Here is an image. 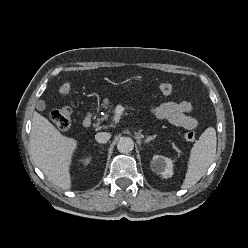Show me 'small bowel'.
Listing matches in <instances>:
<instances>
[{
    "mask_svg": "<svg viewBox=\"0 0 248 248\" xmlns=\"http://www.w3.org/2000/svg\"><path fill=\"white\" fill-rule=\"evenodd\" d=\"M192 104L187 100L165 102L152 109V114L161 120H166L173 126L188 130L194 129L198 122L192 115Z\"/></svg>",
    "mask_w": 248,
    "mask_h": 248,
    "instance_id": "obj_1",
    "label": "small bowel"
}]
</instances>
